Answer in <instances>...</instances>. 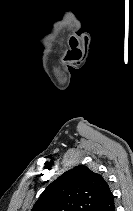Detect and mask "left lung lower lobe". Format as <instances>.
<instances>
[{
    "mask_svg": "<svg viewBox=\"0 0 133 211\" xmlns=\"http://www.w3.org/2000/svg\"><path fill=\"white\" fill-rule=\"evenodd\" d=\"M93 211H115L114 197L111 193L101 204Z\"/></svg>",
    "mask_w": 133,
    "mask_h": 211,
    "instance_id": "0a47b994",
    "label": "left lung lower lobe"
}]
</instances>
